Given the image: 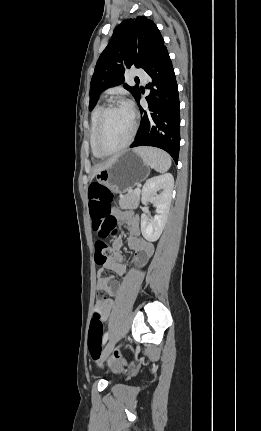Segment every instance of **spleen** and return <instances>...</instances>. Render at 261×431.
Segmentation results:
<instances>
[{
    "label": "spleen",
    "mask_w": 261,
    "mask_h": 431,
    "mask_svg": "<svg viewBox=\"0 0 261 431\" xmlns=\"http://www.w3.org/2000/svg\"><path fill=\"white\" fill-rule=\"evenodd\" d=\"M135 150L149 166L160 173L166 172L171 167V157L160 149L139 147Z\"/></svg>",
    "instance_id": "3e777b00"
}]
</instances>
